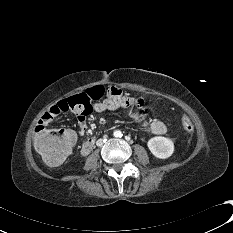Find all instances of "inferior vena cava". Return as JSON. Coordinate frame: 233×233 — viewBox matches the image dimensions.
<instances>
[{"mask_svg":"<svg viewBox=\"0 0 233 233\" xmlns=\"http://www.w3.org/2000/svg\"><path fill=\"white\" fill-rule=\"evenodd\" d=\"M97 145H98V146H101V145H102L101 140H98V141H97Z\"/></svg>","mask_w":233,"mask_h":233,"instance_id":"obj_1","label":"inferior vena cava"}]
</instances>
